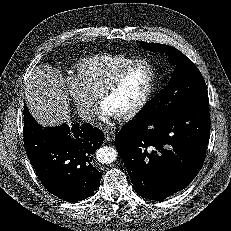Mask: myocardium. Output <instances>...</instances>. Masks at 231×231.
Listing matches in <instances>:
<instances>
[{
	"label": "myocardium",
	"mask_w": 231,
	"mask_h": 231,
	"mask_svg": "<svg viewBox=\"0 0 231 231\" xmlns=\"http://www.w3.org/2000/svg\"><path fill=\"white\" fill-rule=\"evenodd\" d=\"M145 64L147 65L150 70H151V81L149 84V87L141 100L129 111L116 116L118 120L121 121H127L135 116H137L149 103L151 100L156 87H157V82H158V73L155 65L147 59H136L124 68H122L119 72H117L113 77H111L102 87L101 91L99 92L98 99L101 105H103L105 99L112 93L114 92L117 87L121 84L125 76L136 66Z\"/></svg>",
	"instance_id": "obj_1"
}]
</instances>
